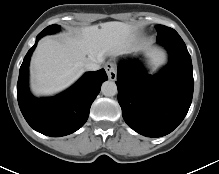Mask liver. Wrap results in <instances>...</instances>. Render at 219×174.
Returning <instances> with one entry per match:
<instances>
[{
	"label": "liver",
	"instance_id": "obj_1",
	"mask_svg": "<svg viewBox=\"0 0 219 174\" xmlns=\"http://www.w3.org/2000/svg\"><path fill=\"white\" fill-rule=\"evenodd\" d=\"M138 49L134 27L117 21L84 27L77 36H64L60 41L45 38L31 60L32 91L43 95L61 91L82 75L87 62L101 63L105 56ZM150 56L154 61L160 59L155 53Z\"/></svg>",
	"mask_w": 219,
	"mask_h": 174
}]
</instances>
